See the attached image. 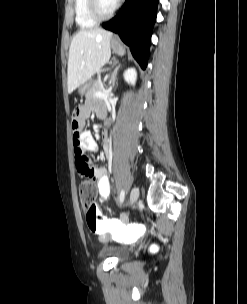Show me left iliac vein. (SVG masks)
I'll return each instance as SVG.
<instances>
[{
  "label": "left iliac vein",
  "mask_w": 247,
  "mask_h": 304,
  "mask_svg": "<svg viewBox=\"0 0 247 304\" xmlns=\"http://www.w3.org/2000/svg\"><path fill=\"white\" fill-rule=\"evenodd\" d=\"M139 197V189L138 187H133L130 193V204L133 205L136 203L137 199Z\"/></svg>",
  "instance_id": "1"
}]
</instances>
